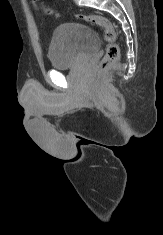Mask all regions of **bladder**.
<instances>
[{
    "label": "bladder",
    "instance_id": "bladder-1",
    "mask_svg": "<svg viewBox=\"0 0 163 235\" xmlns=\"http://www.w3.org/2000/svg\"><path fill=\"white\" fill-rule=\"evenodd\" d=\"M93 29L81 23H65L55 28L49 43L48 56L54 69L76 66L83 58L99 49Z\"/></svg>",
    "mask_w": 163,
    "mask_h": 235
}]
</instances>
